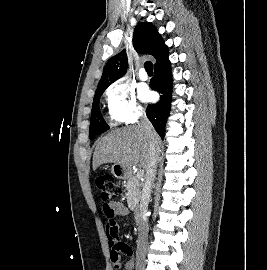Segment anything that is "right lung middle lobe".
Here are the masks:
<instances>
[{
  "label": "right lung middle lobe",
  "mask_w": 267,
  "mask_h": 270,
  "mask_svg": "<svg viewBox=\"0 0 267 270\" xmlns=\"http://www.w3.org/2000/svg\"><path fill=\"white\" fill-rule=\"evenodd\" d=\"M103 92L104 91L95 93L94 96L90 122V134H89L90 139H93L97 134L109 129V126L104 121L99 109V100Z\"/></svg>",
  "instance_id": "1"
}]
</instances>
